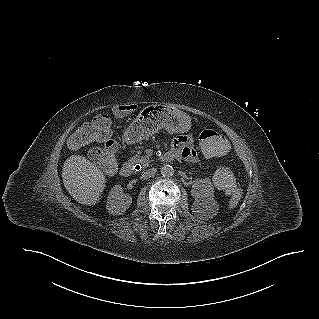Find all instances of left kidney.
Returning a JSON list of instances; mask_svg holds the SVG:
<instances>
[{"label":"left kidney","instance_id":"5707ae66","mask_svg":"<svg viewBox=\"0 0 319 319\" xmlns=\"http://www.w3.org/2000/svg\"><path fill=\"white\" fill-rule=\"evenodd\" d=\"M191 195L195 198V205L201 209L202 216L212 217L216 215L219 207L213 199L214 188L209 178L195 180L192 185Z\"/></svg>","mask_w":319,"mask_h":319}]
</instances>
